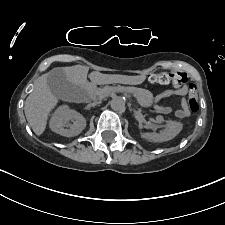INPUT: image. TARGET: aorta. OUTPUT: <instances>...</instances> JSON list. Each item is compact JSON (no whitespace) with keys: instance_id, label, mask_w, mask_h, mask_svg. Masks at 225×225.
<instances>
[{"instance_id":"obj_1","label":"aorta","mask_w":225,"mask_h":225,"mask_svg":"<svg viewBox=\"0 0 225 225\" xmlns=\"http://www.w3.org/2000/svg\"><path fill=\"white\" fill-rule=\"evenodd\" d=\"M110 106L113 111L123 113L126 110L125 99L120 96H115L111 99Z\"/></svg>"}]
</instances>
